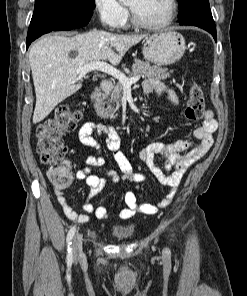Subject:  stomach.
<instances>
[{
  "label": "stomach",
  "instance_id": "1",
  "mask_svg": "<svg viewBox=\"0 0 247 296\" xmlns=\"http://www.w3.org/2000/svg\"><path fill=\"white\" fill-rule=\"evenodd\" d=\"M185 49V39L182 34L167 29L147 37L142 53L147 62L167 66L179 61L184 55Z\"/></svg>",
  "mask_w": 247,
  "mask_h": 296
}]
</instances>
